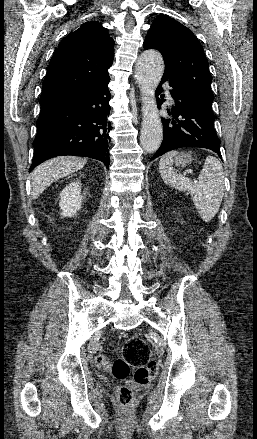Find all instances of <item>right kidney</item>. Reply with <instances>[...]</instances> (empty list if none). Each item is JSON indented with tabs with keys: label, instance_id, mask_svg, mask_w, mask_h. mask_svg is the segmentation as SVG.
Masks as SVG:
<instances>
[{
	"label": "right kidney",
	"instance_id": "obj_1",
	"mask_svg": "<svg viewBox=\"0 0 257 439\" xmlns=\"http://www.w3.org/2000/svg\"><path fill=\"white\" fill-rule=\"evenodd\" d=\"M61 215L64 217H72L82 206L81 183L71 182L60 194Z\"/></svg>",
	"mask_w": 257,
	"mask_h": 439
}]
</instances>
